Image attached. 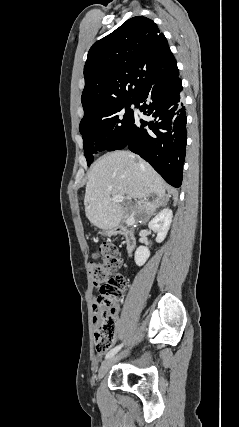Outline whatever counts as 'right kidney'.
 <instances>
[{
	"label": "right kidney",
	"instance_id": "obj_1",
	"mask_svg": "<svg viewBox=\"0 0 239 427\" xmlns=\"http://www.w3.org/2000/svg\"><path fill=\"white\" fill-rule=\"evenodd\" d=\"M173 213L169 208L160 211L148 224L149 229L157 233L156 242L161 243L170 228ZM150 257V251L147 247L139 246L135 252V263L137 266H142Z\"/></svg>",
	"mask_w": 239,
	"mask_h": 427
}]
</instances>
